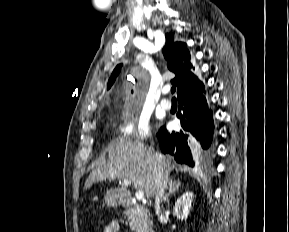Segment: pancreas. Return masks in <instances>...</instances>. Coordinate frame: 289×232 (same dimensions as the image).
<instances>
[{
  "label": "pancreas",
  "mask_w": 289,
  "mask_h": 232,
  "mask_svg": "<svg viewBox=\"0 0 289 232\" xmlns=\"http://www.w3.org/2000/svg\"><path fill=\"white\" fill-rule=\"evenodd\" d=\"M125 217L129 221L130 229L136 232H148L151 228L147 211L139 206L129 208L125 211Z\"/></svg>",
  "instance_id": "1"
}]
</instances>
